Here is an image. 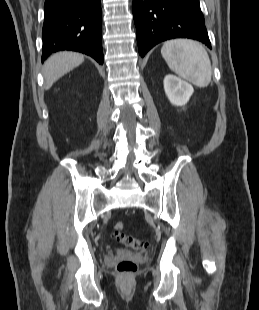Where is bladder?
I'll return each mask as SVG.
<instances>
[{"instance_id": "1", "label": "bladder", "mask_w": 259, "mask_h": 310, "mask_svg": "<svg viewBox=\"0 0 259 310\" xmlns=\"http://www.w3.org/2000/svg\"><path fill=\"white\" fill-rule=\"evenodd\" d=\"M123 255H124V256H129V255H130V253H124Z\"/></svg>"}]
</instances>
